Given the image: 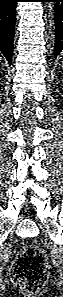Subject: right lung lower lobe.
I'll use <instances>...</instances> for the list:
<instances>
[{"label":"right lung lower lobe","mask_w":63,"mask_h":297,"mask_svg":"<svg viewBox=\"0 0 63 297\" xmlns=\"http://www.w3.org/2000/svg\"><path fill=\"white\" fill-rule=\"evenodd\" d=\"M19 0H0V52L12 62L16 5Z\"/></svg>","instance_id":"1"}]
</instances>
